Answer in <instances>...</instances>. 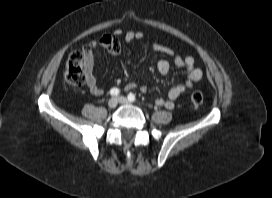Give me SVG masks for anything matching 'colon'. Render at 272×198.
Instances as JSON below:
<instances>
[{"instance_id": "5ec220e1", "label": "colon", "mask_w": 272, "mask_h": 198, "mask_svg": "<svg viewBox=\"0 0 272 198\" xmlns=\"http://www.w3.org/2000/svg\"><path fill=\"white\" fill-rule=\"evenodd\" d=\"M66 82L75 87L83 86L86 83L84 56L79 50L72 51L67 59L65 67ZM191 102L200 106L203 102V95L196 91L191 94Z\"/></svg>"}]
</instances>
